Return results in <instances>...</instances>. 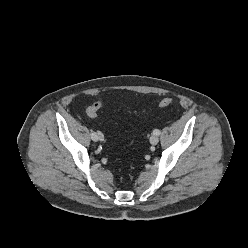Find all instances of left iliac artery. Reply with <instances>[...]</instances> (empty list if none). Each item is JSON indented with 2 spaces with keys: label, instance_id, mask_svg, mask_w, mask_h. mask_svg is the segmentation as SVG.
<instances>
[{
  "label": "left iliac artery",
  "instance_id": "44dca946",
  "mask_svg": "<svg viewBox=\"0 0 248 248\" xmlns=\"http://www.w3.org/2000/svg\"><path fill=\"white\" fill-rule=\"evenodd\" d=\"M160 130H158V129H155L154 131H153V134H155V135H157V136H159L160 135Z\"/></svg>",
  "mask_w": 248,
  "mask_h": 248
}]
</instances>
